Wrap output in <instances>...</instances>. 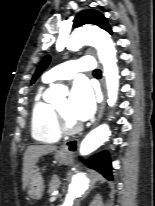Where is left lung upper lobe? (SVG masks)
I'll return each mask as SVG.
<instances>
[{
  "label": "left lung upper lobe",
  "mask_w": 155,
  "mask_h": 206,
  "mask_svg": "<svg viewBox=\"0 0 155 206\" xmlns=\"http://www.w3.org/2000/svg\"><path fill=\"white\" fill-rule=\"evenodd\" d=\"M84 24H95L99 27L103 28L109 33H112L111 28L109 27L106 18L95 10H85L81 13H79L75 19H74V27H79ZM50 62V57L45 56L40 64L38 65V68L31 80V83H34L37 78L41 75V73L44 71V69L48 66Z\"/></svg>",
  "instance_id": "5c2ea615"
}]
</instances>
